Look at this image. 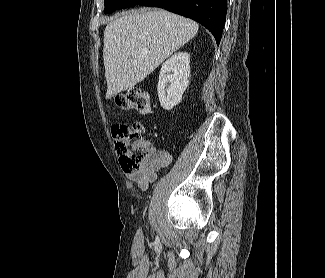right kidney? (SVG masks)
<instances>
[{
    "instance_id": "ca27d5eb",
    "label": "right kidney",
    "mask_w": 325,
    "mask_h": 278,
    "mask_svg": "<svg viewBox=\"0 0 325 278\" xmlns=\"http://www.w3.org/2000/svg\"><path fill=\"white\" fill-rule=\"evenodd\" d=\"M189 64L190 56L186 52L175 53L162 64L157 91L163 109L171 110L181 101L189 85Z\"/></svg>"
}]
</instances>
